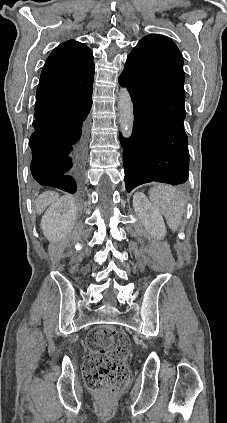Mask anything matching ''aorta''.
<instances>
[{
  "label": "aorta",
  "mask_w": 227,
  "mask_h": 423,
  "mask_svg": "<svg viewBox=\"0 0 227 423\" xmlns=\"http://www.w3.org/2000/svg\"><path fill=\"white\" fill-rule=\"evenodd\" d=\"M118 112L120 129L124 137L129 138L133 132V102L126 88H122L118 96Z\"/></svg>",
  "instance_id": "obj_1"
}]
</instances>
